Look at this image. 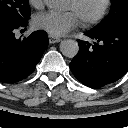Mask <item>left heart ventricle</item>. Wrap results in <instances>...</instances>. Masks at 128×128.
Returning a JSON list of instances; mask_svg holds the SVG:
<instances>
[{
	"label": "left heart ventricle",
	"instance_id": "1",
	"mask_svg": "<svg viewBox=\"0 0 128 128\" xmlns=\"http://www.w3.org/2000/svg\"><path fill=\"white\" fill-rule=\"evenodd\" d=\"M102 2L103 0H82L79 4H74L69 0L67 9L73 11L79 19H86L98 12Z\"/></svg>",
	"mask_w": 128,
	"mask_h": 128
}]
</instances>
